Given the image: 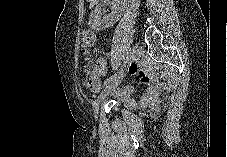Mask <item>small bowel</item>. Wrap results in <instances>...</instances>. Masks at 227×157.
I'll use <instances>...</instances> for the list:
<instances>
[{"label":"small bowel","instance_id":"1","mask_svg":"<svg viewBox=\"0 0 227 157\" xmlns=\"http://www.w3.org/2000/svg\"><path fill=\"white\" fill-rule=\"evenodd\" d=\"M128 71L130 74L136 75L146 85L144 93L141 95L139 101L131 97L135 91L134 87L126 86L118 88L113 92L127 108L135 109L139 106H146L150 104L158 95V86L153 80L152 75L145 69L141 68L137 63H131ZM107 73V62L100 59L92 72L91 83L88 85L89 89L93 92H98L101 86V77Z\"/></svg>","mask_w":227,"mask_h":157}]
</instances>
